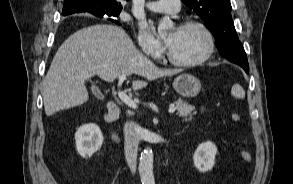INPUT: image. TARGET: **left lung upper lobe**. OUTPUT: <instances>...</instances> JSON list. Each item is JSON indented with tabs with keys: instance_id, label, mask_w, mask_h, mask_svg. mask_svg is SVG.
<instances>
[{
	"instance_id": "obj_1",
	"label": "left lung upper lobe",
	"mask_w": 293,
	"mask_h": 184,
	"mask_svg": "<svg viewBox=\"0 0 293 184\" xmlns=\"http://www.w3.org/2000/svg\"><path fill=\"white\" fill-rule=\"evenodd\" d=\"M182 2L204 20L215 37L221 55L229 61L246 57L242 45L240 46L242 50L236 48L241 42L232 21L229 0H182Z\"/></svg>"
}]
</instances>
